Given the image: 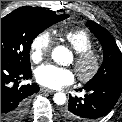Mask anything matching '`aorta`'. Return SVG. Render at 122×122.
Masks as SVG:
<instances>
[{
    "label": "aorta",
    "mask_w": 122,
    "mask_h": 122,
    "mask_svg": "<svg viewBox=\"0 0 122 122\" xmlns=\"http://www.w3.org/2000/svg\"><path fill=\"white\" fill-rule=\"evenodd\" d=\"M70 57V51L64 46H57L52 51V59L60 64H65ZM57 105H63L66 102V95L63 92H58L53 97Z\"/></svg>",
    "instance_id": "obj_1"
}]
</instances>
